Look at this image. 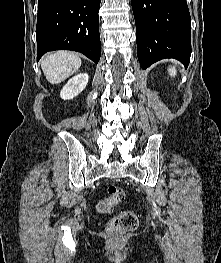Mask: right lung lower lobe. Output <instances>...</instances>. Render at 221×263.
<instances>
[{"mask_svg": "<svg viewBox=\"0 0 221 263\" xmlns=\"http://www.w3.org/2000/svg\"><path fill=\"white\" fill-rule=\"evenodd\" d=\"M101 0H38L37 61L53 50H73L98 63Z\"/></svg>", "mask_w": 221, "mask_h": 263, "instance_id": "obj_1", "label": "right lung lower lobe"}]
</instances>
